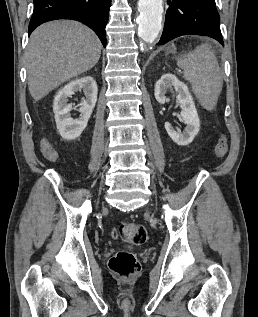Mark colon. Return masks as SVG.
I'll use <instances>...</instances> for the list:
<instances>
[{"instance_id":"obj_1","label":"colon","mask_w":258,"mask_h":317,"mask_svg":"<svg viewBox=\"0 0 258 317\" xmlns=\"http://www.w3.org/2000/svg\"><path fill=\"white\" fill-rule=\"evenodd\" d=\"M228 150L227 137L222 135L215 146V154L221 158ZM57 155H48V160L55 161ZM115 236L135 245L143 244L147 239V231L142 224L125 222L115 231ZM109 269L117 276L128 279L140 271V263L135 254L126 251L116 252L109 260Z\"/></svg>"}]
</instances>
